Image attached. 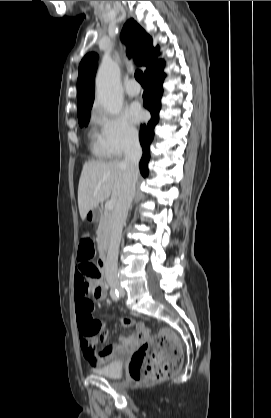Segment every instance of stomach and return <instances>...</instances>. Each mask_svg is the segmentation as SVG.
<instances>
[{"label":"stomach","instance_id":"obj_1","mask_svg":"<svg viewBox=\"0 0 271 418\" xmlns=\"http://www.w3.org/2000/svg\"><path fill=\"white\" fill-rule=\"evenodd\" d=\"M99 218V209L94 208L87 212L85 219L89 222H95Z\"/></svg>","mask_w":271,"mask_h":418}]
</instances>
